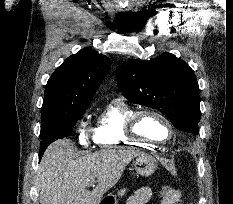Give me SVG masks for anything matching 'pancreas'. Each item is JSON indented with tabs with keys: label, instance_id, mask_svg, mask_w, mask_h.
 Returning a JSON list of instances; mask_svg holds the SVG:
<instances>
[{
	"label": "pancreas",
	"instance_id": "1",
	"mask_svg": "<svg viewBox=\"0 0 233 204\" xmlns=\"http://www.w3.org/2000/svg\"><path fill=\"white\" fill-rule=\"evenodd\" d=\"M125 191H126V189H125V188H124V189L119 190V191L117 192V196H118V197H122V196L125 194Z\"/></svg>",
	"mask_w": 233,
	"mask_h": 204
}]
</instances>
